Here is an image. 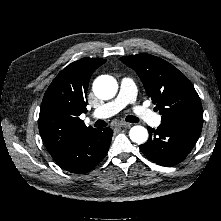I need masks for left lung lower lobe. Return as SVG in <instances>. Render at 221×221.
<instances>
[{
  "instance_id": "obj_1",
  "label": "left lung lower lobe",
  "mask_w": 221,
  "mask_h": 221,
  "mask_svg": "<svg viewBox=\"0 0 221 221\" xmlns=\"http://www.w3.org/2000/svg\"><path fill=\"white\" fill-rule=\"evenodd\" d=\"M149 139L140 145L143 154L161 166L180 163L195 145L201 128L161 124L156 130L148 127Z\"/></svg>"
}]
</instances>
